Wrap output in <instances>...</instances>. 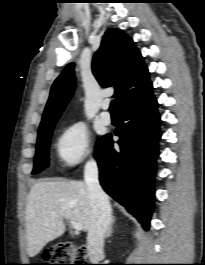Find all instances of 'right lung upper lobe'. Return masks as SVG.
Listing matches in <instances>:
<instances>
[{"label": "right lung upper lobe", "instance_id": "cb5924a9", "mask_svg": "<svg viewBox=\"0 0 205 265\" xmlns=\"http://www.w3.org/2000/svg\"><path fill=\"white\" fill-rule=\"evenodd\" d=\"M93 74L103 87L114 86L122 111L152 93L148 68L134 42L121 30L111 28L103 36L92 63ZM75 88L74 63L68 64L54 81L39 130L56 124Z\"/></svg>", "mask_w": 205, "mask_h": 265}]
</instances>
